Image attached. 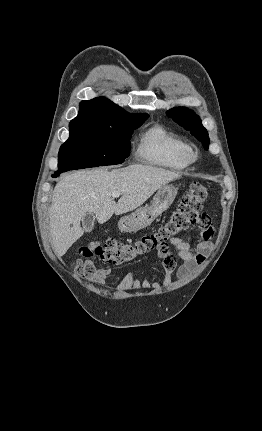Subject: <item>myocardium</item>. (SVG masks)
Returning a JSON list of instances; mask_svg holds the SVG:
<instances>
[{"instance_id":"myocardium-1","label":"myocardium","mask_w":262,"mask_h":431,"mask_svg":"<svg viewBox=\"0 0 262 431\" xmlns=\"http://www.w3.org/2000/svg\"><path fill=\"white\" fill-rule=\"evenodd\" d=\"M197 160V155L192 150L187 155V161L189 164H193Z\"/></svg>"}]
</instances>
